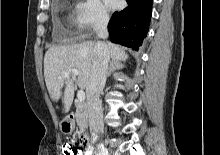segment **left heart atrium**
I'll return each mask as SVG.
<instances>
[{
  "mask_svg": "<svg viewBox=\"0 0 220 155\" xmlns=\"http://www.w3.org/2000/svg\"><path fill=\"white\" fill-rule=\"evenodd\" d=\"M104 3L109 9H116L120 5V0H104Z\"/></svg>",
  "mask_w": 220,
  "mask_h": 155,
  "instance_id": "left-heart-atrium-1",
  "label": "left heart atrium"
}]
</instances>
